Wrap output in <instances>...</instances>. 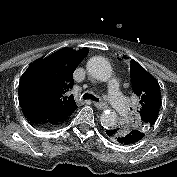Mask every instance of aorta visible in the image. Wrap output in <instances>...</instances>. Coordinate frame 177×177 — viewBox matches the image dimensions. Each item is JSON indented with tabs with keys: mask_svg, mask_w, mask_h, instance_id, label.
<instances>
[{
	"mask_svg": "<svg viewBox=\"0 0 177 177\" xmlns=\"http://www.w3.org/2000/svg\"><path fill=\"white\" fill-rule=\"evenodd\" d=\"M86 69L94 79L101 82L108 81L112 76L110 63L101 56L90 58L87 62ZM117 121L118 116L112 110H105L100 116V122L104 128H113L117 124Z\"/></svg>",
	"mask_w": 177,
	"mask_h": 177,
	"instance_id": "762f6f07",
	"label": "aorta"
}]
</instances>
